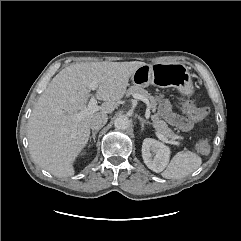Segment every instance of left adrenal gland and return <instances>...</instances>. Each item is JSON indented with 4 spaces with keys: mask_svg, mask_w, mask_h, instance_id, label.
I'll list each match as a JSON object with an SVG mask.
<instances>
[{
    "mask_svg": "<svg viewBox=\"0 0 241 241\" xmlns=\"http://www.w3.org/2000/svg\"><path fill=\"white\" fill-rule=\"evenodd\" d=\"M138 119L140 120V123H141V130H143L144 129V125H148L149 122H147L145 119H143L140 116H138Z\"/></svg>",
    "mask_w": 241,
    "mask_h": 241,
    "instance_id": "obj_1",
    "label": "left adrenal gland"
}]
</instances>
